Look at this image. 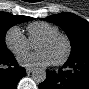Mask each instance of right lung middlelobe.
I'll return each mask as SVG.
<instances>
[{
	"label": "right lung middle lobe",
	"instance_id": "right-lung-middle-lobe-1",
	"mask_svg": "<svg viewBox=\"0 0 89 89\" xmlns=\"http://www.w3.org/2000/svg\"><path fill=\"white\" fill-rule=\"evenodd\" d=\"M30 20H33V18L27 16H14L7 12H0V55L9 52L5 43V35L8 29L16 24Z\"/></svg>",
	"mask_w": 89,
	"mask_h": 89
}]
</instances>
